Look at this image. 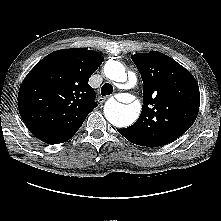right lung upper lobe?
<instances>
[{"label":"right lung upper lobe","instance_id":"right-lung-upper-lobe-1","mask_svg":"<svg viewBox=\"0 0 221 221\" xmlns=\"http://www.w3.org/2000/svg\"><path fill=\"white\" fill-rule=\"evenodd\" d=\"M104 60L85 48L58 50L43 58L25 77L18 108L27 128L41 141H68L97 106L90 76Z\"/></svg>","mask_w":221,"mask_h":221}]
</instances>
